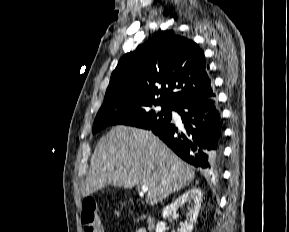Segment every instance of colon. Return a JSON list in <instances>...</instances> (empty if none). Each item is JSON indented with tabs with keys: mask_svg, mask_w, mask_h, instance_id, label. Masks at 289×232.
Masks as SVG:
<instances>
[{
	"mask_svg": "<svg viewBox=\"0 0 289 232\" xmlns=\"http://www.w3.org/2000/svg\"><path fill=\"white\" fill-rule=\"evenodd\" d=\"M81 222L83 224V232H101L97 212V202L94 198H86L83 201Z\"/></svg>",
	"mask_w": 289,
	"mask_h": 232,
	"instance_id": "colon-1",
	"label": "colon"
}]
</instances>
